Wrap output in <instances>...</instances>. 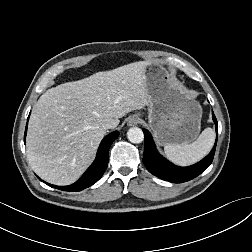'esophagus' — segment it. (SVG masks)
Here are the masks:
<instances>
[{
	"label": "esophagus",
	"mask_w": 252,
	"mask_h": 252,
	"mask_svg": "<svg viewBox=\"0 0 252 252\" xmlns=\"http://www.w3.org/2000/svg\"><path fill=\"white\" fill-rule=\"evenodd\" d=\"M139 122H140L139 117L134 115L129 118L128 125L129 126H136Z\"/></svg>",
	"instance_id": "34e87169"
}]
</instances>
